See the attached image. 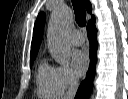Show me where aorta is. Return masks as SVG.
<instances>
[{
    "label": "aorta",
    "instance_id": "aorta-1",
    "mask_svg": "<svg viewBox=\"0 0 128 99\" xmlns=\"http://www.w3.org/2000/svg\"><path fill=\"white\" fill-rule=\"evenodd\" d=\"M71 12L67 7L52 11L48 26V44L55 61L67 64L71 58V47L66 38V29L71 22Z\"/></svg>",
    "mask_w": 128,
    "mask_h": 99
}]
</instances>
